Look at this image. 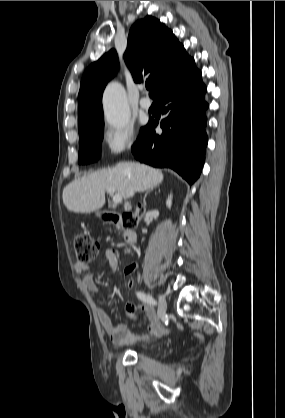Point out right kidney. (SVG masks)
Listing matches in <instances>:
<instances>
[{
    "label": "right kidney",
    "instance_id": "right-kidney-1",
    "mask_svg": "<svg viewBox=\"0 0 285 418\" xmlns=\"http://www.w3.org/2000/svg\"><path fill=\"white\" fill-rule=\"evenodd\" d=\"M172 204V195H170L166 201L167 207L170 209Z\"/></svg>",
    "mask_w": 285,
    "mask_h": 418
}]
</instances>
